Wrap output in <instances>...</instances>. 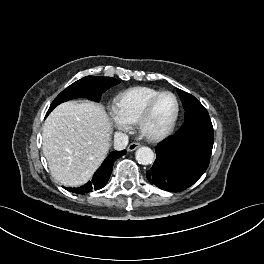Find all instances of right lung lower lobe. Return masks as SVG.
<instances>
[{
	"instance_id": "obj_1",
	"label": "right lung lower lobe",
	"mask_w": 264,
	"mask_h": 264,
	"mask_svg": "<svg viewBox=\"0 0 264 264\" xmlns=\"http://www.w3.org/2000/svg\"><path fill=\"white\" fill-rule=\"evenodd\" d=\"M125 153V150L112 152L104 160L100 168L96 171V173L93 175V178L88 183L81 187L65 189L76 194H85L103 188L107 184L112 173L113 163L116 159L122 157Z\"/></svg>"
}]
</instances>
